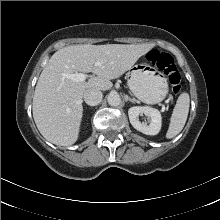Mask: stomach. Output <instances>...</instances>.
Instances as JSON below:
<instances>
[{
    "mask_svg": "<svg viewBox=\"0 0 220 220\" xmlns=\"http://www.w3.org/2000/svg\"><path fill=\"white\" fill-rule=\"evenodd\" d=\"M128 86L134 96L148 104L163 101L169 88L167 78L147 64H138L131 68Z\"/></svg>",
    "mask_w": 220,
    "mask_h": 220,
    "instance_id": "1",
    "label": "stomach"
}]
</instances>
